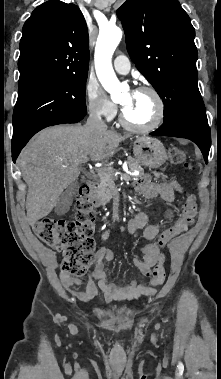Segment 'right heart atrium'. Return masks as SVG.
<instances>
[{"label": "right heart atrium", "mask_w": 221, "mask_h": 379, "mask_svg": "<svg viewBox=\"0 0 221 379\" xmlns=\"http://www.w3.org/2000/svg\"><path fill=\"white\" fill-rule=\"evenodd\" d=\"M85 100L89 112L103 120L111 121L116 113V105L109 100L102 88L92 82L85 86Z\"/></svg>", "instance_id": "1"}]
</instances>
